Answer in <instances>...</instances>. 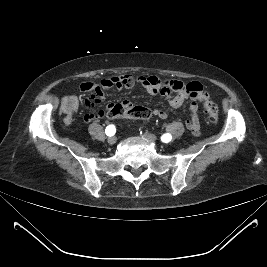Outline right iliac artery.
Returning a JSON list of instances; mask_svg holds the SVG:
<instances>
[{
    "label": "right iliac artery",
    "instance_id": "obj_1",
    "mask_svg": "<svg viewBox=\"0 0 267 267\" xmlns=\"http://www.w3.org/2000/svg\"><path fill=\"white\" fill-rule=\"evenodd\" d=\"M105 132L108 136H113L116 132L115 126L114 125H108L105 129Z\"/></svg>",
    "mask_w": 267,
    "mask_h": 267
}]
</instances>
